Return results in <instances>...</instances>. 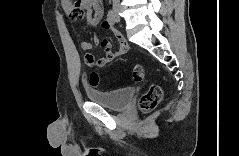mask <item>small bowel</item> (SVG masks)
<instances>
[{"mask_svg": "<svg viewBox=\"0 0 239 156\" xmlns=\"http://www.w3.org/2000/svg\"><path fill=\"white\" fill-rule=\"evenodd\" d=\"M62 8L71 20L72 28L74 32L79 35L80 29L76 22L85 16L87 17L88 23L91 26H96L100 23L103 16V5L100 0H63ZM102 27L105 29H113V25L108 21V19L102 22ZM115 36L119 42V48L117 51L112 50V43L110 40H103L99 42L98 38L95 37V43H99L104 50L103 56L100 58H95L92 55H87V64L90 67H103L110 63L116 56L126 54L128 52L129 46L126 40L121 36V34L114 30ZM81 49L84 52L91 50V43L88 41H82L80 44Z\"/></svg>", "mask_w": 239, "mask_h": 156, "instance_id": "1", "label": "small bowel"}]
</instances>
